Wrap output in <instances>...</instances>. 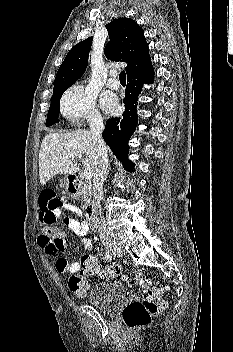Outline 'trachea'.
Segmentation results:
<instances>
[{
    "mask_svg": "<svg viewBox=\"0 0 233 352\" xmlns=\"http://www.w3.org/2000/svg\"><path fill=\"white\" fill-rule=\"evenodd\" d=\"M119 80H120V82H126V73H125V71H121L120 72Z\"/></svg>",
    "mask_w": 233,
    "mask_h": 352,
    "instance_id": "trachea-1",
    "label": "trachea"
}]
</instances>
